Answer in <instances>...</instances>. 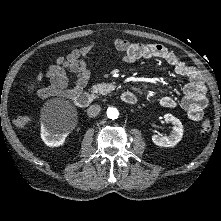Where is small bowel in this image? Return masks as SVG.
Instances as JSON below:
<instances>
[{
    "mask_svg": "<svg viewBox=\"0 0 221 221\" xmlns=\"http://www.w3.org/2000/svg\"><path fill=\"white\" fill-rule=\"evenodd\" d=\"M96 45L97 42L92 41L79 48H74L66 56H59L54 64L37 76L38 82L44 78H48L50 82L49 86L36 89L37 97L44 99L59 96L72 99L81 93L91 77L92 71L88 65V57ZM112 47L122 53V61L125 63L150 58L164 60L176 74L188 79V83L183 89L184 96L181 101L188 118L198 121L203 117L204 110L208 105L207 87L197 68L187 65L172 51L160 44L133 43L124 39H114ZM70 75L75 77L73 82L70 80ZM159 103L165 108L177 106L176 99L167 95L161 97Z\"/></svg>",
    "mask_w": 221,
    "mask_h": 221,
    "instance_id": "1",
    "label": "small bowel"
}]
</instances>
